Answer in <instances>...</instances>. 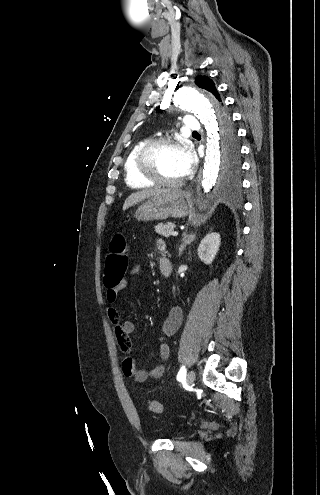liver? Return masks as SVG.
Segmentation results:
<instances>
[{
	"label": "liver",
	"instance_id": "liver-1",
	"mask_svg": "<svg viewBox=\"0 0 320 495\" xmlns=\"http://www.w3.org/2000/svg\"><path fill=\"white\" fill-rule=\"evenodd\" d=\"M166 191H168V190L155 189V190H146V191H139L136 193H132L125 200L124 205H123V210H126L129 207H131V206H133V205H135L141 201H144L145 199H150V198H153L157 195L165 193Z\"/></svg>",
	"mask_w": 320,
	"mask_h": 495
}]
</instances>
